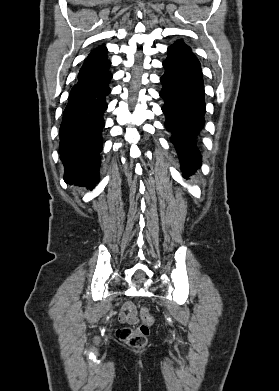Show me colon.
I'll return each mask as SVG.
<instances>
[{
	"label": "colon",
	"instance_id": "5ec220e1",
	"mask_svg": "<svg viewBox=\"0 0 279 391\" xmlns=\"http://www.w3.org/2000/svg\"><path fill=\"white\" fill-rule=\"evenodd\" d=\"M143 323L137 328L124 326L116 331V336L122 342L135 348H143L147 344L149 335V326L154 323V317L148 312L147 308H142Z\"/></svg>",
	"mask_w": 279,
	"mask_h": 391
}]
</instances>
